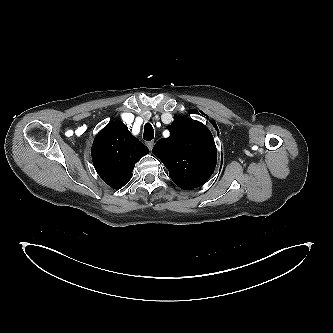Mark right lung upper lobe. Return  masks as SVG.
I'll return each instance as SVG.
<instances>
[{
	"instance_id": "cb5924a9",
	"label": "right lung upper lobe",
	"mask_w": 333,
	"mask_h": 333,
	"mask_svg": "<svg viewBox=\"0 0 333 333\" xmlns=\"http://www.w3.org/2000/svg\"><path fill=\"white\" fill-rule=\"evenodd\" d=\"M148 153V148L120 120L109 123L97 134L91 150L97 173L115 189L131 179L135 163Z\"/></svg>"
}]
</instances>
